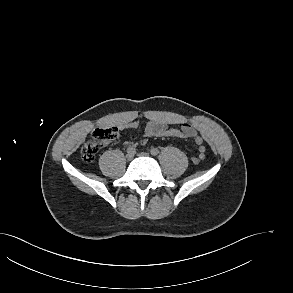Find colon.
<instances>
[{"instance_id":"1","label":"colon","mask_w":293,"mask_h":293,"mask_svg":"<svg viewBox=\"0 0 293 293\" xmlns=\"http://www.w3.org/2000/svg\"><path fill=\"white\" fill-rule=\"evenodd\" d=\"M118 137L116 127H100L94 130L90 140L81 149V157L85 162H93L99 150ZM205 158V152L200 151L198 157L193 158V163L197 164Z\"/></svg>"}]
</instances>
